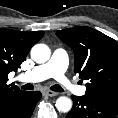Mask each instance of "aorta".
<instances>
[{
    "instance_id": "aorta-1",
    "label": "aorta",
    "mask_w": 118,
    "mask_h": 118,
    "mask_svg": "<svg viewBox=\"0 0 118 118\" xmlns=\"http://www.w3.org/2000/svg\"><path fill=\"white\" fill-rule=\"evenodd\" d=\"M50 48L45 44H36L31 49V58L39 64L45 63L50 59ZM59 112H69L72 109V100L66 96H60L55 104Z\"/></svg>"
}]
</instances>
